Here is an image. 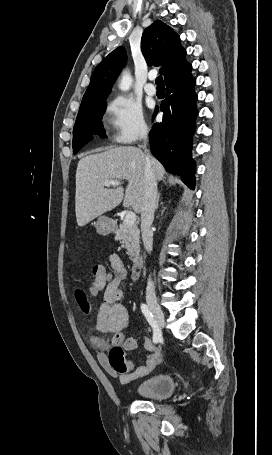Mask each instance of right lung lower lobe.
Returning <instances> with one entry per match:
<instances>
[{
	"mask_svg": "<svg viewBox=\"0 0 272 455\" xmlns=\"http://www.w3.org/2000/svg\"><path fill=\"white\" fill-rule=\"evenodd\" d=\"M195 84L191 71L166 84L167 96L160 106L164 112L163 121L154 124L149 134L154 157L164 165L167 172L181 176L191 189L195 187L191 137L198 114Z\"/></svg>",
	"mask_w": 272,
	"mask_h": 455,
	"instance_id": "obj_1",
	"label": "right lung lower lobe"
}]
</instances>
